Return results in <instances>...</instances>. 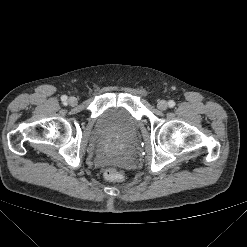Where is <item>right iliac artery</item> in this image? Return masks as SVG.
Returning <instances> with one entry per match:
<instances>
[{
  "mask_svg": "<svg viewBox=\"0 0 247 247\" xmlns=\"http://www.w3.org/2000/svg\"><path fill=\"white\" fill-rule=\"evenodd\" d=\"M61 100H62L63 102H66V101H67V96L63 95V96L61 97Z\"/></svg>",
  "mask_w": 247,
  "mask_h": 247,
  "instance_id": "82829eb1",
  "label": "right iliac artery"
}]
</instances>
